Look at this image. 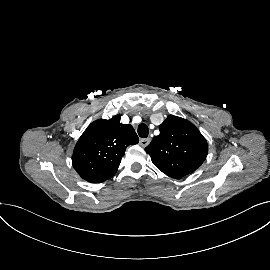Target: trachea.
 I'll list each match as a JSON object with an SVG mask.
<instances>
[{"instance_id":"trachea-1","label":"trachea","mask_w":270,"mask_h":270,"mask_svg":"<svg viewBox=\"0 0 270 270\" xmlns=\"http://www.w3.org/2000/svg\"><path fill=\"white\" fill-rule=\"evenodd\" d=\"M149 133L148 126L144 123L138 126V134L141 138H147Z\"/></svg>"}]
</instances>
